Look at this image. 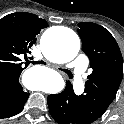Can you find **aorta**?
Here are the masks:
<instances>
[{
	"label": "aorta",
	"mask_w": 124,
	"mask_h": 124,
	"mask_svg": "<svg viewBox=\"0 0 124 124\" xmlns=\"http://www.w3.org/2000/svg\"><path fill=\"white\" fill-rule=\"evenodd\" d=\"M42 50L47 58L59 63H66L74 59L80 49L77 34L68 28H61L55 37L45 34L41 40ZM31 90H42L43 85L36 76H31L26 82Z\"/></svg>",
	"instance_id": "762f6f07"
}]
</instances>
